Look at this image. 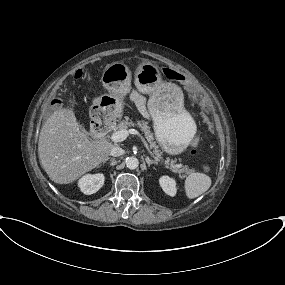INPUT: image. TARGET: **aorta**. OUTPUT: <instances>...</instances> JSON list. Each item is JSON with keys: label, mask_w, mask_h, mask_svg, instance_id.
Masks as SVG:
<instances>
[{"label": "aorta", "mask_w": 285, "mask_h": 285, "mask_svg": "<svg viewBox=\"0 0 285 285\" xmlns=\"http://www.w3.org/2000/svg\"><path fill=\"white\" fill-rule=\"evenodd\" d=\"M139 165V161L136 157H128L126 159V166L127 168L133 170V169H136Z\"/></svg>", "instance_id": "aorta-1"}]
</instances>
